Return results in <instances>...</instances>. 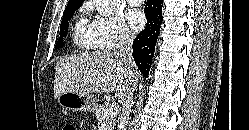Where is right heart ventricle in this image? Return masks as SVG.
Masks as SVG:
<instances>
[{"label": "right heart ventricle", "mask_w": 249, "mask_h": 130, "mask_svg": "<svg viewBox=\"0 0 249 130\" xmlns=\"http://www.w3.org/2000/svg\"><path fill=\"white\" fill-rule=\"evenodd\" d=\"M72 38L74 44L83 50L98 49V41L92 23L84 16H79L75 22Z\"/></svg>", "instance_id": "obj_1"}]
</instances>
